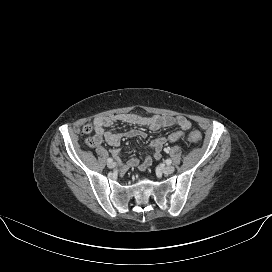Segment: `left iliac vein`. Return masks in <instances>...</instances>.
Wrapping results in <instances>:
<instances>
[{"instance_id": "left-iliac-vein-1", "label": "left iliac vein", "mask_w": 272, "mask_h": 272, "mask_svg": "<svg viewBox=\"0 0 272 272\" xmlns=\"http://www.w3.org/2000/svg\"><path fill=\"white\" fill-rule=\"evenodd\" d=\"M161 172L168 175L174 172L175 168L172 165H165L160 168Z\"/></svg>"}]
</instances>
